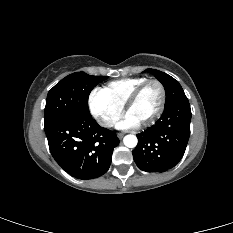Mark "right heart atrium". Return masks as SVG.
Masks as SVG:
<instances>
[{
  "instance_id": "1",
  "label": "right heart atrium",
  "mask_w": 233,
  "mask_h": 233,
  "mask_svg": "<svg viewBox=\"0 0 233 233\" xmlns=\"http://www.w3.org/2000/svg\"><path fill=\"white\" fill-rule=\"evenodd\" d=\"M88 107L96 121L105 128L113 126L123 112V107L114 103L100 89H94L90 92Z\"/></svg>"
}]
</instances>
